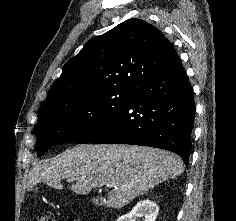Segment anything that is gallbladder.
Returning a JSON list of instances; mask_svg holds the SVG:
<instances>
[{"mask_svg":"<svg viewBox=\"0 0 236 221\" xmlns=\"http://www.w3.org/2000/svg\"><path fill=\"white\" fill-rule=\"evenodd\" d=\"M92 201H93L94 204H97V205L103 204V201L100 197H95V198L92 199Z\"/></svg>","mask_w":236,"mask_h":221,"instance_id":"1","label":"gallbladder"}]
</instances>
